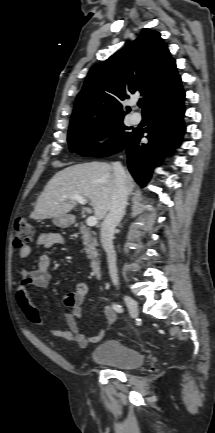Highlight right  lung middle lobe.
<instances>
[{
    "label": "right lung middle lobe",
    "instance_id": "obj_1",
    "mask_svg": "<svg viewBox=\"0 0 215 433\" xmlns=\"http://www.w3.org/2000/svg\"><path fill=\"white\" fill-rule=\"evenodd\" d=\"M123 117L99 120L89 123L72 124L68 132V143L71 152L83 156L106 157L119 152L133 132L123 125ZM104 133L116 134L111 142L101 144L98 148L96 138Z\"/></svg>",
    "mask_w": 215,
    "mask_h": 433
}]
</instances>
